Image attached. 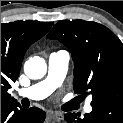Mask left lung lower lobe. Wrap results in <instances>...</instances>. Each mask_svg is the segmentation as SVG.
I'll use <instances>...</instances> for the list:
<instances>
[{"mask_svg": "<svg viewBox=\"0 0 123 123\" xmlns=\"http://www.w3.org/2000/svg\"><path fill=\"white\" fill-rule=\"evenodd\" d=\"M64 118L69 123H123V106L106 102L92 106V112L86 113L82 118L75 113H67Z\"/></svg>", "mask_w": 123, "mask_h": 123, "instance_id": "1", "label": "left lung lower lobe"}]
</instances>
